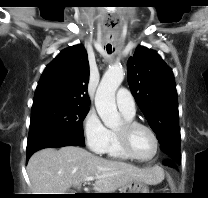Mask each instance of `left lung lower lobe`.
Instances as JSON below:
<instances>
[{
	"label": "left lung lower lobe",
	"instance_id": "0a47b994",
	"mask_svg": "<svg viewBox=\"0 0 208 198\" xmlns=\"http://www.w3.org/2000/svg\"><path fill=\"white\" fill-rule=\"evenodd\" d=\"M167 164H168L169 166H171V167H176V166L178 165L177 162H175V161H173V160H171V159H168Z\"/></svg>",
	"mask_w": 208,
	"mask_h": 198
}]
</instances>
